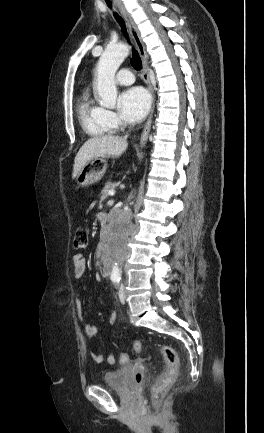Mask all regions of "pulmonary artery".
I'll return each mask as SVG.
<instances>
[{
  "mask_svg": "<svg viewBox=\"0 0 264 433\" xmlns=\"http://www.w3.org/2000/svg\"><path fill=\"white\" fill-rule=\"evenodd\" d=\"M116 83L119 85H130L134 82V76L129 69H121L116 75Z\"/></svg>",
  "mask_w": 264,
  "mask_h": 433,
  "instance_id": "pulmonary-artery-1",
  "label": "pulmonary artery"
}]
</instances>
